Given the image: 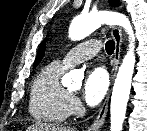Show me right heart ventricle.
<instances>
[{
  "label": "right heart ventricle",
  "instance_id": "1",
  "mask_svg": "<svg viewBox=\"0 0 147 131\" xmlns=\"http://www.w3.org/2000/svg\"><path fill=\"white\" fill-rule=\"evenodd\" d=\"M65 68L53 62L41 69L30 91L29 112L41 122L59 124L69 116V92L61 85L60 78Z\"/></svg>",
  "mask_w": 147,
  "mask_h": 131
}]
</instances>
